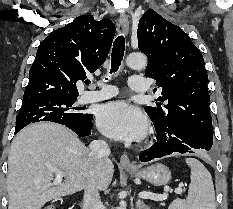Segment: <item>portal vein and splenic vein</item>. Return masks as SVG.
Segmentation results:
<instances>
[{
  "mask_svg": "<svg viewBox=\"0 0 233 209\" xmlns=\"http://www.w3.org/2000/svg\"><path fill=\"white\" fill-rule=\"evenodd\" d=\"M49 169L56 174V178L53 181V185L60 184L61 181H62V178L65 176V174L62 171H60V170H58L56 168H53L51 166H49ZM174 192L176 194H181L182 193V188L178 187V188L175 189ZM139 197L142 198V199H151V200H155V201H163V200L167 199L168 194L167 193L154 194V193H151V192H141L139 194Z\"/></svg>",
  "mask_w": 233,
  "mask_h": 209,
  "instance_id": "18ae733b",
  "label": "portal vein and splenic vein"
}]
</instances>
